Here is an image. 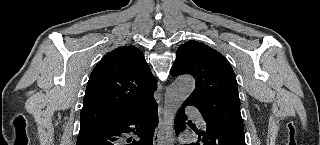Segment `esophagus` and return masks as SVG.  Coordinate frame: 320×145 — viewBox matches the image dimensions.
<instances>
[{"label":"esophagus","mask_w":320,"mask_h":145,"mask_svg":"<svg viewBox=\"0 0 320 145\" xmlns=\"http://www.w3.org/2000/svg\"><path fill=\"white\" fill-rule=\"evenodd\" d=\"M165 126L163 120V109L159 107V123L153 137V145H164Z\"/></svg>","instance_id":"1"}]
</instances>
